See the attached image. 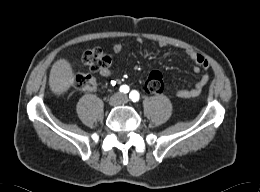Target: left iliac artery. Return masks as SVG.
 Returning <instances> with one entry per match:
<instances>
[{
	"label": "left iliac artery",
	"instance_id": "left-iliac-artery-1",
	"mask_svg": "<svg viewBox=\"0 0 260 192\" xmlns=\"http://www.w3.org/2000/svg\"><path fill=\"white\" fill-rule=\"evenodd\" d=\"M129 97L133 102H138L140 99V95L136 90H132L129 94Z\"/></svg>",
	"mask_w": 260,
	"mask_h": 192
}]
</instances>
